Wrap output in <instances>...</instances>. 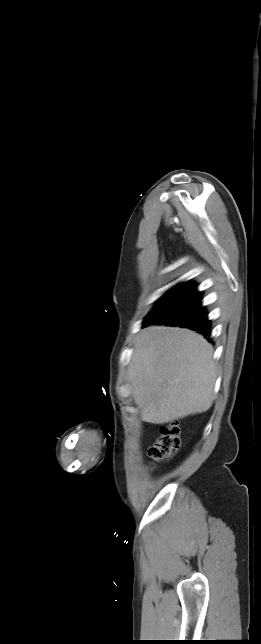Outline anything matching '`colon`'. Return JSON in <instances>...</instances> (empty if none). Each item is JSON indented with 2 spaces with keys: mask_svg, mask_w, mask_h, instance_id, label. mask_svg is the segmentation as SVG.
I'll list each match as a JSON object with an SVG mask.
<instances>
[{
  "mask_svg": "<svg viewBox=\"0 0 261 644\" xmlns=\"http://www.w3.org/2000/svg\"><path fill=\"white\" fill-rule=\"evenodd\" d=\"M180 447V428L177 422L163 425L160 434L149 449V456L155 462L172 457Z\"/></svg>",
  "mask_w": 261,
  "mask_h": 644,
  "instance_id": "obj_1",
  "label": "colon"
}]
</instances>
